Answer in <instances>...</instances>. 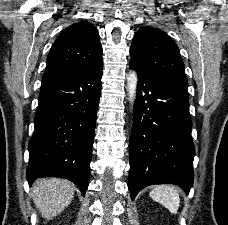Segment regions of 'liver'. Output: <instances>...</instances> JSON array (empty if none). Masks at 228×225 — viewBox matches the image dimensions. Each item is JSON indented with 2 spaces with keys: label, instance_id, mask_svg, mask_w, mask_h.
Returning <instances> with one entry per match:
<instances>
[{
  "label": "liver",
  "instance_id": "obj_1",
  "mask_svg": "<svg viewBox=\"0 0 228 225\" xmlns=\"http://www.w3.org/2000/svg\"><path fill=\"white\" fill-rule=\"evenodd\" d=\"M33 203L43 219L51 221L74 199V185L66 179H37L32 185Z\"/></svg>",
  "mask_w": 228,
  "mask_h": 225
}]
</instances>
